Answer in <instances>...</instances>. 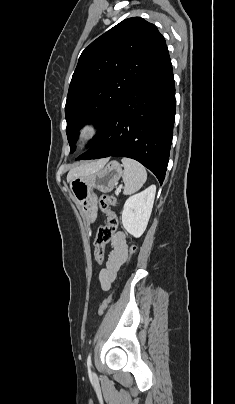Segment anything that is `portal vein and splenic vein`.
Listing matches in <instances>:
<instances>
[{
    "label": "portal vein and splenic vein",
    "instance_id": "1",
    "mask_svg": "<svg viewBox=\"0 0 235 404\" xmlns=\"http://www.w3.org/2000/svg\"><path fill=\"white\" fill-rule=\"evenodd\" d=\"M121 189H122V186H119V187L117 188V192H120Z\"/></svg>",
    "mask_w": 235,
    "mask_h": 404
}]
</instances>
